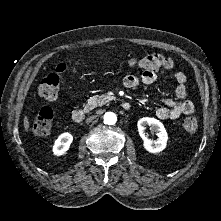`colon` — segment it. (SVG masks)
Returning a JSON list of instances; mask_svg holds the SVG:
<instances>
[{"mask_svg":"<svg viewBox=\"0 0 221 221\" xmlns=\"http://www.w3.org/2000/svg\"><path fill=\"white\" fill-rule=\"evenodd\" d=\"M131 68L142 69L144 72L159 73L172 67L169 57L162 54H150L141 59L131 58L127 62ZM66 71V66L60 64L54 73L48 74L39 84V94L48 100H55L59 94V76ZM53 112L50 108H43L37 115L33 130L38 136L45 137L52 132ZM182 130L188 135H193L198 130V121L195 117L188 116L182 121Z\"/></svg>","mask_w":221,"mask_h":221,"instance_id":"5ec220e1","label":"colon"}]
</instances>
